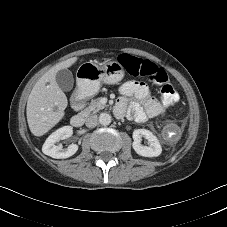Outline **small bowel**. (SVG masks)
I'll return each mask as SVG.
<instances>
[{
    "mask_svg": "<svg viewBox=\"0 0 227 227\" xmlns=\"http://www.w3.org/2000/svg\"><path fill=\"white\" fill-rule=\"evenodd\" d=\"M116 115H127L138 122L164 115L165 107L151 94L149 87L139 81H127L120 86ZM129 99L133 101L128 104Z\"/></svg>",
    "mask_w": 227,
    "mask_h": 227,
    "instance_id": "1",
    "label": "small bowel"
}]
</instances>
